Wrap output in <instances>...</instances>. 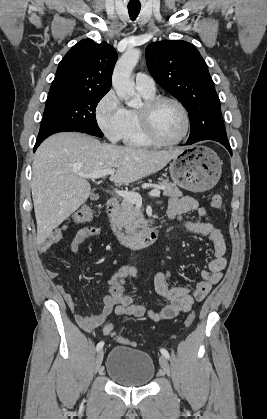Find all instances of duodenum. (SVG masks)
Here are the masks:
<instances>
[{"mask_svg": "<svg viewBox=\"0 0 267 419\" xmlns=\"http://www.w3.org/2000/svg\"><path fill=\"white\" fill-rule=\"evenodd\" d=\"M119 208V200L116 197L110 198L106 203V212L112 217ZM112 231L117 240L128 247L140 248L156 243L160 237V228L152 227L134 235L123 232L116 224H111Z\"/></svg>", "mask_w": 267, "mask_h": 419, "instance_id": "obj_1", "label": "duodenum"}]
</instances>
